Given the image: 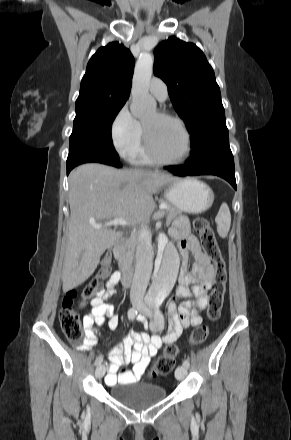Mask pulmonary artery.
I'll use <instances>...</instances> for the list:
<instances>
[{"label": "pulmonary artery", "instance_id": "obj_1", "mask_svg": "<svg viewBox=\"0 0 291 440\" xmlns=\"http://www.w3.org/2000/svg\"><path fill=\"white\" fill-rule=\"evenodd\" d=\"M149 90L158 100L164 101L168 96V89L166 83L158 78L153 77L149 84Z\"/></svg>", "mask_w": 291, "mask_h": 440}]
</instances>
